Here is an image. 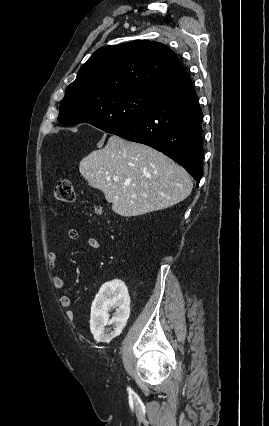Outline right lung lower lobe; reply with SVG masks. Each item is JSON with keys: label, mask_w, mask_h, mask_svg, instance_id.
Here are the masks:
<instances>
[{"label": "right lung lower lobe", "mask_w": 269, "mask_h": 426, "mask_svg": "<svg viewBox=\"0 0 269 426\" xmlns=\"http://www.w3.org/2000/svg\"><path fill=\"white\" fill-rule=\"evenodd\" d=\"M202 118L192 81L186 76L158 89L143 114L108 133L164 153L195 180H200L203 173Z\"/></svg>", "instance_id": "98d812e1"}]
</instances>
